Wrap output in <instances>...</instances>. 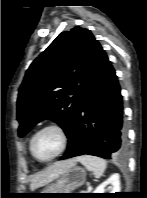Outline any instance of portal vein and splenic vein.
<instances>
[{"label": "portal vein and splenic vein", "mask_w": 147, "mask_h": 198, "mask_svg": "<svg viewBox=\"0 0 147 198\" xmlns=\"http://www.w3.org/2000/svg\"><path fill=\"white\" fill-rule=\"evenodd\" d=\"M92 189V187L91 186H88V190H91Z\"/></svg>", "instance_id": "obj_1"}]
</instances>
